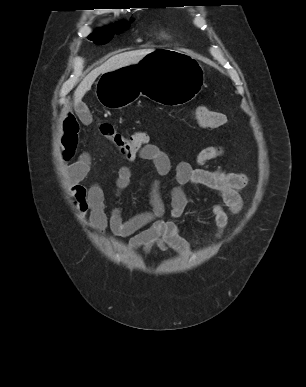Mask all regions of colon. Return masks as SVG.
I'll list each match as a JSON object with an SVG mask.
<instances>
[{"label": "colon", "mask_w": 306, "mask_h": 387, "mask_svg": "<svg viewBox=\"0 0 306 387\" xmlns=\"http://www.w3.org/2000/svg\"><path fill=\"white\" fill-rule=\"evenodd\" d=\"M193 114L197 124L203 128H218L226 123V116L223 113L203 105L197 106ZM99 132L124 158L138 153L149 143V136L144 131L126 136L106 122L99 125Z\"/></svg>", "instance_id": "obj_1"}]
</instances>
